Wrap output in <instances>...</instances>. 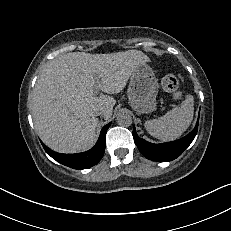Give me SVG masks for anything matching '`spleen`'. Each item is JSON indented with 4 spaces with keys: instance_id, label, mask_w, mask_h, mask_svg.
I'll return each mask as SVG.
<instances>
[{
    "instance_id": "1",
    "label": "spleen",
    "mask_w": 231,
    "mask_h": 231,
    "mask_svg": "<svg viewBox=\"0 0 231 231\" xmlns=\"http://www.w3.org/2000/svg\"><path fill=\"white\" fill-rule=\"evenodd\" d=\"M193 96L187 95L180 106L168 111L164 116L144 123L147 132L162 141L175 140L189 127L194 112Z\"/></svg>"
}]
</instances>
